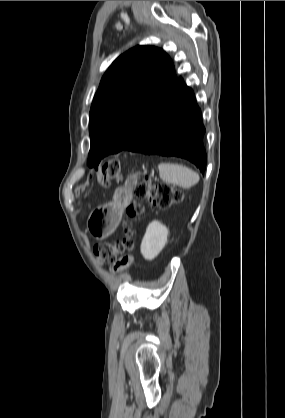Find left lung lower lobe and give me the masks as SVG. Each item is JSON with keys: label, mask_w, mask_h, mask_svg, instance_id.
<instances>
[{"label": "left lung lower lobe", "mask_w": 285, "mask_h": 418, "mask_svg": "<svg viewBox=\"0 0 285 418\" xmlns=\"http://www.w3.org/2000/svg\"><path fill=\"white\" fill-rule=\"evenodd\" d=\"M204 133L194 92L179 77L123 150L181 157L204 172Z\"/></svg>", "instance_id": "1"}]
</instances>
